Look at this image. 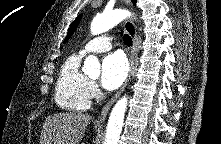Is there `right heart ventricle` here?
Segmentation results:
<instances>
[{
    "instance_id": "obj_1",
    "label": "right heart ventricle",
    "mask_w": 221,
    "mask_h": 144,
    "mask_svg": "<svg viewBox=\"0 0 221 144\" xmlns=\"http://www.w3.org/2000/svg\"><path fill=\"white\" fill-rule=\"evenodd\" d=\"M81 55L69 56L61 66L56 87L57 105L69 111H83L90 105L87 87L89 79L80 69Z\"/></svg>"
}]
</instances>
